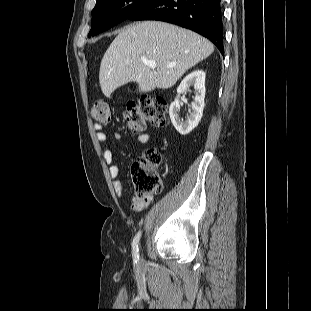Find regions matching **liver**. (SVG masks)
I'll use <instances>...</instances> for the list:
<instances>
[{"label": "liver", "mask_w": 311, "mask_h": 311, "mask_svg": "<svg viewBox=\"0 0 311 311\" xmlns=\"http://www.w3.org/2000/svg\"><path fill=\"white\" fill-rule=\"evenodd\" d=\"M213 51L208 39L190 30L159 21L132 24L121 30L106 50L100 64V87L108 98L132 81L143 93L168 89ZM142 59L155 61L156 68ZM170 64L174 67L167 68Z\"/></svg>", "instance_id": "1"}]
</instances>
